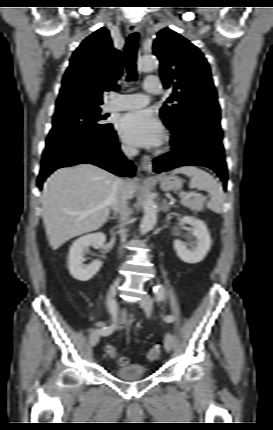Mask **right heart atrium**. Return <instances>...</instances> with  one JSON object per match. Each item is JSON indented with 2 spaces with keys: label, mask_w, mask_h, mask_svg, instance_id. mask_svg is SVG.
Instances as JSON below:
<instances>
[{
  "label": "right heart atrium",
  "mask_w": 273,
  "mask_h": 430,
  "mask_svg": "<svg viewBox=\"0 0 273 430\" xmlns=\"http://www.w3.org/2000/svg\"><path fill=\"white\" fill-rule=\"evenodd\" d=\"M123 150H124L125 152H127V153H131V152H132V148H131V147H129V146H127V145H124V146H123Z\"/></svg>",
  "instance_id": "obj_1"
}]
</instances>
